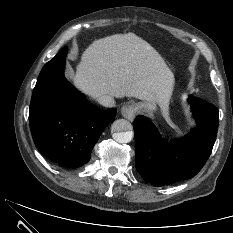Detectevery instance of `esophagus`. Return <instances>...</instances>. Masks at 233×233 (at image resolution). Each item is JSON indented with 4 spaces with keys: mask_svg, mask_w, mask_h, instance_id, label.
<instances>
[{
    "mask_svg": "<svg viewBox=\"0 0 233 233\" xmlns=\"http://www.w3.org/2000/svg\"><path fill=\"white\" fill-rule=\"evenodd\" d=\"M138 111V105L135 103L124 105L121 108V114L128 120H133Z\"/></svg>",
    "mask_w": 233,
    "mask_h": 233,
    "instance_id": "obj_1",
    "label": "esophagus"
}]
</instances>
